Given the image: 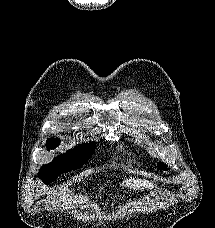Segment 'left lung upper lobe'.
I'll list each match as a JSON object with an SVG mask.
<instances>
[{
    "label": "left lung upper lobe",
    "instance_id": "5c2ea615",
    "mask_svg": "<svg viewBox=\"0 0 215 228\" xmlns=\"http://www.w3.org/2000/svg\"><path fill=\"white\" fill-rule=\"evenodd\" d=\"M159 167H160L161 169L167 170L166 167H165V165H164L163 163H160V164H159Z\"/></svg>",
    "mask_w": 215,
    "mask_h": 228
}]
</instances>
